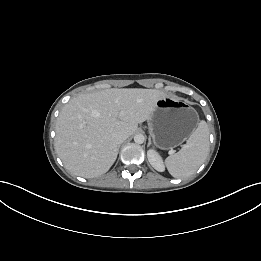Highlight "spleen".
Instances as JSON below:
<instances>
[{
	"label": "spleen",
	"mask_w": 261,
	"mask_h": 261,
	"mask_svg": "<svg viewBox=\"0 0 261 261\" xmlns=\"http://www.w3.org/2000/svg\"><path fill=\"white\" fill-rule=\"evenodd\" d=\"M209 152V132L205 121H201L181 150L166 158L169 173L175 178L193 175Z\"/></svg>",
	"instance_id": "obj_1"
}]
</instances>
